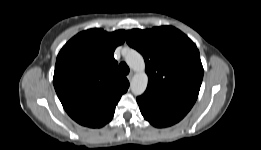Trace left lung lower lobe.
I'll return each mask as SVG.
<instances>
[{"mask_svg": "<svg viewBox=\"0 0 261 150\" xmlns=\"http://www.w3.org/2000/svg\"><path fill=\"white\" fill-rule=\"evenodd\" d=\"M144 118L155 127H167L180 121L189 111L179 105L147 97H137Z\"/></svg>", "mask_w": 261, "mask_h": 150, "instance_id": "1", "label": "left lung lower lobe"}]
</instances>
